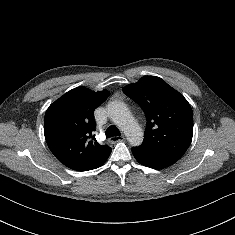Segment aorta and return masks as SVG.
<instances>
[{
    "instance_id": "1",
    "label": "aorta",
    "mask_w": 235,
    "mask_h": 235,
    "mask_svg": "<svg viewBox=\"0 0 235 235\" xmlns=\"http://www.w3.org/2000/svg\"><path fill=\"white\" fill-rule=\"evenodd\" d=\"M107 112L110 119L124 132L132 146H139L142 143V129L125 103L111 101L107 106Z\"/></svg>"
}]
</instances>
